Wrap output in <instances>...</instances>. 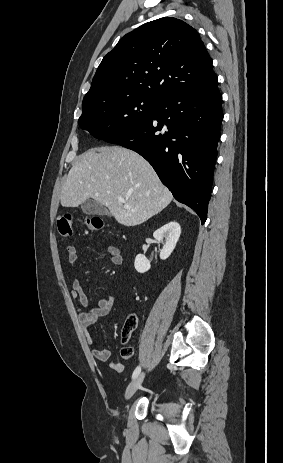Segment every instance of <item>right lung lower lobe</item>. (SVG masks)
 <instances>
[{
  "label": "right lung lower lobe",
  "mask_w": 283,
  "mask_h": 463,
  "mask_svg": "<svg viewBox=\"0 0 283 463\" xmlns=\"http://www.w3.org/2000/svg\"><path fill=\"white\" fill-rule=\"evenodd\" d=\"M218 78L211 84L171 94L144 122L107 142L143 156L174 198L192 208L203 224L223 120Z\"/></svg>",
  "instance_id": "1"
}]
</instances>
